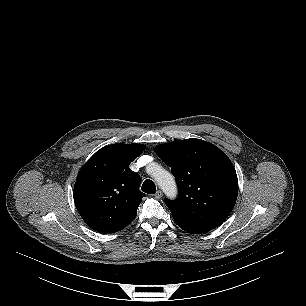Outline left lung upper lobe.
<instances>
[{
	"label": "left lung upper lobe",
	"instance_id": "obj_1",
	"mask_svg": "<svg viewBox=\"0 0 306 306\" xmlns=\"http://www.w3.org/2000/svg\"><path fill=\"white\" fill-rule=\"evenodd\" d=\"M155 153L176 178L178 198L165 203L177 224L211 230L229 216L237 199L238 179L222 150L192 138L160 145Z\"/></svg>",
	"mask_w": 306,
	"mask_h": 306
}]
</instances>
